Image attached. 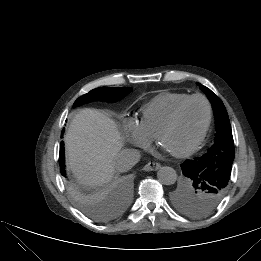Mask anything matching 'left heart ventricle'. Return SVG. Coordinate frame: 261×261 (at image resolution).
Returning a JSON list of instances; mask_svg holds the SVG:
<instances>
[{
	"mask_svg": "<svg viewBox=\"0 0 261 261\" xmlns=\"http://www.w3.org/2000/svg\"><path fill=\"white\" fill-rule=\"evenodd\" d=\"M206 118V104L199 99L190 101L182 109L175 125L162 137L161 145L171 152L188 147L201 133Z\"/></svg>",
	"mask_w": 261,
	"mask_h": 261,
	"instance_id": "b2bd125f",
	"label": "left heart ventricle"
}]
</instances>
